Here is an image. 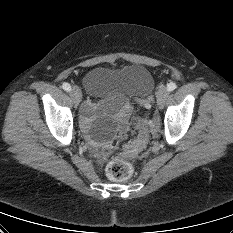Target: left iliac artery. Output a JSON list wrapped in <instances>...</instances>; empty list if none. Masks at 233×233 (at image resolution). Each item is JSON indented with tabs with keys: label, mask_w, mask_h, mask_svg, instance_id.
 Wrapping results in <instances>:
<instances>
[{
	"label": "left iliac artery",
	"mask_w": 233,
	"mask_h": 233,
	"mask_svg": "<svg viewBox=\"0 0 233 233\" xmlns=\"http://www.w3.org/2000/svg\"><path fill=\"white\" fill-rule=\"evenodd\" d=\"M176 83H174V82H171V83H169L168 85H167V89H168V91H173V90H175L176 89Z\"/></svg>",
	"instance_id": "1"
}]
</instances>
